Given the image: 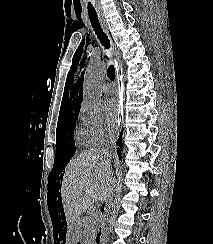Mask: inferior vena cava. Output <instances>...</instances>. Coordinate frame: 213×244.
Returning a JSON list of instances; mask_svg holds the SVG:
<instances>
[{"instance_id":"602c4592","label":"inferior vena cava","mask_w":213,"mask_h":244,"mask_svg":"<svg viewBox=\"0 0 213 244\" xmlns=\"http://www.w3.org/2000/svg\"><path fill=\"white\" fill-rule=\"evenodd\" d=\"M113 169V176L111 177V184H112V190H113V188H117L118 187V181L116 180L117 178V176H118V169H115L114 167L112 168ZM107 202L110 204V206H111V210H113V208H115V203H113V195H112V192H111V194L109 195V197H108V200H107Z\"/></svg>"}]
</instances>
